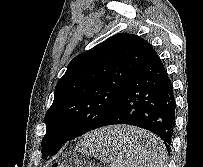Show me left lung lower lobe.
Wrapping results in <instances>:
<instances>
[{
  "label": "left lung lower lobe",
  "mask_w": 203,
  "mask_h": 167,
  "mask_svg": "<svg viewBox=\"0 0 203 167\" xmlns=\"http://www.w3.org/2000/svg\"><path fill=\"white\" fill-rule=\"evenodd\" d=\"M115 124L147 129L158 135L170 150L175 126V96L164 64L155 51L134 74L121 93L117 108L100 127ZM62 144L52 145L49 155L56 154ZM125 145L117 139L107 142L109 148Z\"/></svg>",
  "instance_id": "0a47b994"
}]
</instances>
